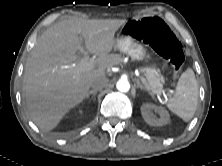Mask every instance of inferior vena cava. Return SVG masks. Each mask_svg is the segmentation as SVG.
<instances>
[{"label": "inferior vena cava", "mask_w": 222, "mask_h": 166, "mask_svg": "<svg viewBox=\"0 0 222 166\" xmlns=\"http://www.w3.org/2000/svg\"><path fill=\"white\" fill-rule=\"evenodd\" d=\"M109 85V80L106 77H100L93 81L91 87L94 91L102 90Z\"/></svg>", "instance_id": "602c4592"}]
</instances>
